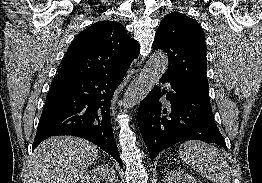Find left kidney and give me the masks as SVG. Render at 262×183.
<instances>
[{
  "mask_svg": "<svg viewBox=\"0 0 262 183\" xmlns=\"http://www.w3.org/2000/svg\"><path fill=\"white\" fill-rule=\"evenodd\" d=\"M164 183H202L194 178L192 175L181 171L171 170L165 177Z\"/></svg>",
  "mask_w": 262,
  "mask_h": 183,
  "instance_id": "5707ae66",
  "label": "left kidney"
}]
</instances>
